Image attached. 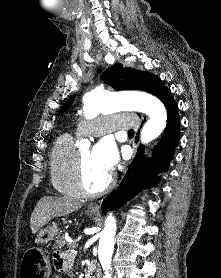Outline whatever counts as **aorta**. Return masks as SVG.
<instances>
[{"mask_svg": "<svg viewBox=\"0 0 221 278\" xmlns=\"http://www.w3.org/2000/svg\"><path fill=\"white\" fill-rule=\"evenodd\" d=\"M83 114L86 119H93L100 113L130 109L145 113L149 120L144 124L140 140L149 143L156 139L166 127L167 112L160 100L146 93H134L131 96L118 99L109 92L95 89L84 96ZM116 220L109 214L105 220V228L101 233L98 247V258L104 270L103 278H111L109 272L114 251Z\"/></svg>", "mask_w": 221, "mask_h": 278, "instance_id": "aorta-1", "label": "aorta"}]
</instances>
